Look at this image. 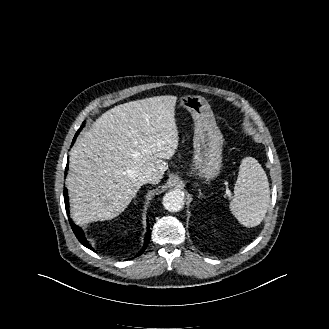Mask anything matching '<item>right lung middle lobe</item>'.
I'll list each match as a JSON object with an SVG mask.
<instances>
[{"label": "right lung middle lobe", "instance_id": "dd1d6c3e", "mask_svg": "<svg viewBox=\"0 0 329 329\" xmlns=\"http://www.w3.org/2000/svg\"><path fill=\"white\" fill-rule=\"evenodd\" d=\"M84 126V123L82 124V126L80 127V129L78 130V132L75 134V137L77 136V134L79 133V131L81 130V128ZM75 137H74V139H75ZM74 139H73V141H74Z\"/></svg>", "mask_w": 329, "mask_h": 329}]
</instances>
